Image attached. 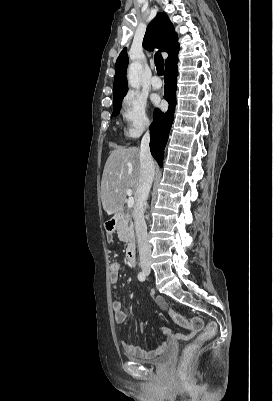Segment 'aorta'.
I'll return each instance as SVG.
<instances>
[{"label":"aorta","instance_id":"obj_1","mask_svg":"<svg viewBox=\"0 0 273 401\" xmlns=\"http://www.w3.org/2000/svg\"><path fill=\"white\" fill-rule=\"evenodd\" d=\"M141 64L138 62H133L129 66L128 69V83L131 87L137 88L139 87V73L141 71Z\"/></svg>","mask_w":273,"mask_h":401}]
</instances>
